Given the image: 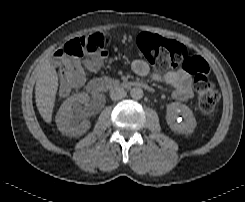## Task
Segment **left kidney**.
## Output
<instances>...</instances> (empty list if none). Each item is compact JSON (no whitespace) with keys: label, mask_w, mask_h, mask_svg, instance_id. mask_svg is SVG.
<instances>
[{"label":"left kidney","mask_w":245,"mask_h":202,"mask_svg":"<svg viewBox=\"0 0 245 202\" xmlns=\"http://www.w3.org/2000/svg\"><path fill=\"white\" fill-rule=\"evenodd\" d=\"M179 113L182 114L184 121L179 120ZM166 121L172 131L182 134L192 133L197 125L193 111L179 102L167 105Z\"/></svg>","instance_id":"5707ae66"}]
</instances>
